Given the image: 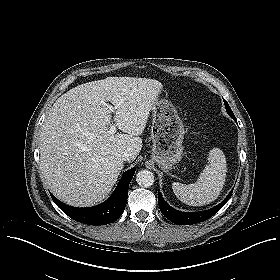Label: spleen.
I'll list each match as a JSON object with an SVG mask.
<instances>
[{"label": "spleen", "instance_id": "1", "mask_svg": "<svg viewBox=\"0 0 280 280\" xmlns=\"http://www.w3.org/2000/svg\"><path fill=\"white\" fill-rule=\"evenodd\" d=\"M198 180L192 184L174 182L172 189L177 198L191 206L207 205L218 198L225 184L227 164L224 153L213 148Z\"/></svg>", "mask_w": 280, "mask_h": 280}]
</instances>
